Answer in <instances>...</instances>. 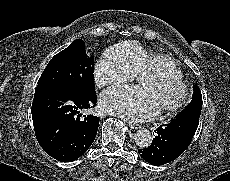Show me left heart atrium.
Segmentation results:
<instances>
[{"label":"left heart atrium","instance_id":"obj_1","mask_svg":"<svg viewBox=\"0 0 230 181\" xmlns=\"http://www.w3.org/2000/svg\"><path fill=\"white\" fill-rule=\"evenodd\" d=\"M140 89L118 88L108 91L103 97L104 108L130 120H145L153 117L154 111L140 93Z\"/></svg>","mask_w":230,"mask_h":181}]
</instances>
